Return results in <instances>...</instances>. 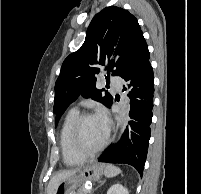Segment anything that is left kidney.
<instances>
[{
  "label": "left kidney",
  "instance_id": "1",
  "mask_svg": "<svg viewBox=\"0 0 201 194\" xmlns=\"http://www.w3.org/2000/svg\"><path fill=\"white\" fill-rule=\"evenodd\" d=\"M107 194H129V193L126 188H124L121 184L117 183L108 189Z\"/></svg>",
  "mask_w": 201,
  "mask_h": 194
}]
</instances>
